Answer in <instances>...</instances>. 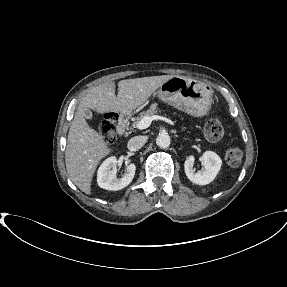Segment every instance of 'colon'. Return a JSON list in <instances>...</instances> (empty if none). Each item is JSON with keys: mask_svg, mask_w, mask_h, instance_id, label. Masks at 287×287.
Masks as SVG:
<instances>
[{"mask_svg": "<svg viewBox=\"0 0 287 287\" xmlns=\"http://www.w3.org/2000/svg\"><path fill=\"white\" fill-rule=\"evenodd\" d=\"M116 115L107 113L98 125V131L105 142H111L115 133ZM205 137L212 142L220 141L224 136V128L220 121L211 119L204 126ZM242 150L238 147H229L225 150L224 158L228 165L237 166L242 161Z\"/></svg>", "mask_w": 287, "mask_h": 287, "instance_id": "1", "label": "colon"}]
</instances>
